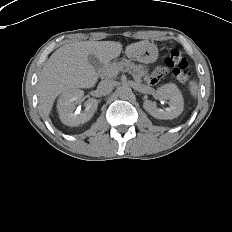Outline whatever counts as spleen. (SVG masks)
Segmentation results:
<instances>
[{"mask_svg":"<svg viewBox=\"0 0 232 232\" xmlns=\"http://www.w3.org/2000/svg\"><path fill=\"white\" fill-rule=\"evenodd\" d=\"M188 89L190 91L191 96H193L194 98H196L197 95L199 94V86L195 80H191L188 83Z\"/></svg>","mask_w":232,"mask_h":232,"instance_id":"obj_1","label":"spleen"}]
</instances>
